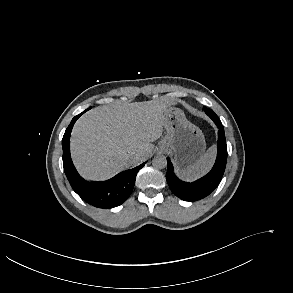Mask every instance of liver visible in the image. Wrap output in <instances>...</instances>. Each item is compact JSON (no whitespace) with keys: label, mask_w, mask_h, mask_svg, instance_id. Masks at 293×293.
Masks as SVG:
<instances>
[{"label":"liver","mask_w":293,"mask_h":293,"mask_svg":"<svg viewBox=\"0 0 293 293\" xmlns=\"http://www.w3.org/2000/svg\"><path fill=\"white\" fill-rule=\"evenodd\" d=\"M173 104L160 99L117 101L86 112L71 135L79 173L88 180H105L146 160L154 149L152 142L162 136L164 113Z\"/></svg>","instance_id":"6515ba94"}]
</instances>
